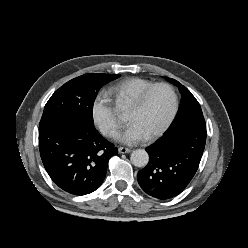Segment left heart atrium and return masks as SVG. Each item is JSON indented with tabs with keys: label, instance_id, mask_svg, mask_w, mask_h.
I'll return each mask as SVG.
<instances>
[{
	"label": "left heart atrium",
	"instance_id": "left-heart-atrium-1",
	"mask_svg": "<svg viewBox=\"0 0 248 248\" xmlns=\"http://www.w3.org/2000/svg\"><path fill=\"white\" fill-rule=\"evenodd\" d=\"M116 139L125 144H135L145 140L146 135L136 124L130 123L116 135Z\"/></svg>",
	"mask_w": 248,
	"mask_h": 248
}]
</instances>
